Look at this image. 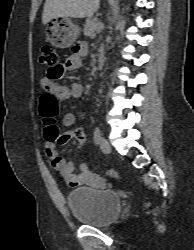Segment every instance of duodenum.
<instances>
[{
    "label": "duodenum",
    "instance_id": "410a0bca",
    "mask_svg": "<svg viewBox=\"0 0 194 250\" xmlns=\"http://www.w3.org/2000/svg\"><path fill=\"white\" fill-rule=\"evenodd\" d=\"M105 55L104 54H100L99 57H98V67L99 68H103L104 65H105Z\"/></svg>",
    "mask_w": 194,
    "mask_h": 250
}]
</instances>
